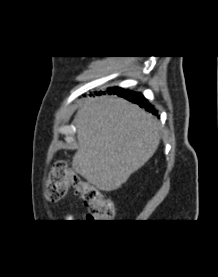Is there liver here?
I'll use <instances>...</instances> for the list:
<instances>
[{
  "label": "liver",
  "mask_w": 218,
  "mask_h": 277,
  "mask_svg": "<svg viewBox=\"0 0 218 277\" xmlns=\"http://www.w3.org/2000/svg\"><path fill=\"white\" fill-rule=\"evenodd\" d=\"M75 125L78 148L72 168L106 192L118 189L143 166L161 138L156 118L114 96L86 100Z\"/></svg>",
  "instance_id": "liver-1"
}]
</instances>
